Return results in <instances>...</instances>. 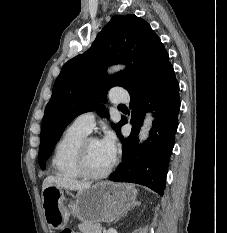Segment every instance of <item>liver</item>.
<instances>
[{"label":"liver","mask_w":227,"mask_h":233,"mask_svg":"<svg viewBox=\"0 0 227 233\" xmlns=\"http://www.w3.org/2000/svg\"><path fill=\"white\" fill-rule=\"evenodd\" d=\"M50 185H56L62 189L80 191L90 188L91 182H81L77 180H72L63 176H47L42 183V191Z\"/></svg>","instance_id":"6515ba94"}]
</instances>
